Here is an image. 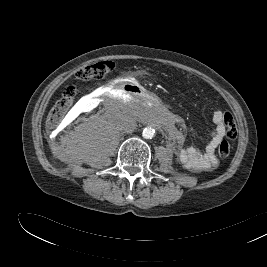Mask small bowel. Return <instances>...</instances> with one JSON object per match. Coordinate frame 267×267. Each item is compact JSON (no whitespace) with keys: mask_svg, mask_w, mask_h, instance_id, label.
<instances>
[{"mask_svg":"<svg viewBox=\"0 0 267 267\" xmlns=\"http://www.w3.org/2000/svg\"><path fill=\"white\" fill-rule=\"evenodd\" d=\"M226 115L227 113L220 110L214 111L212 116L214 128L211 132L210 140L204 149L188 146L182 147L177 151V158L185 168L199 172L212 170L218 165L215 151L221 140L227 135ZM170 130L172 136L180 139V134L174 128L173 123H170Z\"/></svg>","mask_w":267,"mask_h":267,"instance_id":"small-bowel-1","label":"small bowel"}]
</instances>
